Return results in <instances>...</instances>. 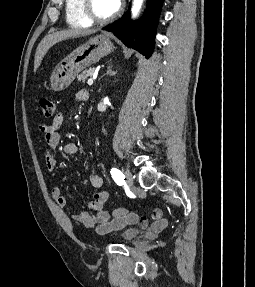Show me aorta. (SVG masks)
I'll return each mask as SVG.
<instances>
[{
  "instance_id": "obj_1",
  "label": "aorta",
  "mask_w": 255,
  "mask_h": 287,
  "mask_svg": "<svg viewBox=\"0 0 255 287\" xmlns=\"http://www.w3.org/2000/svg\"><path fill=\"white\" fill-rule=\"evenodd\" d=\"M143 0H134L133 6H132V15L133 17H136L141 6H142Z\"/></svg>"
}]
</instances>
